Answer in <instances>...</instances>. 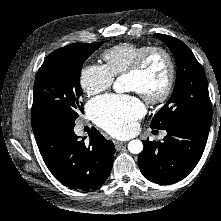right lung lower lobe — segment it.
<instances>
[{"mask_svg":"<svg viewBox=\"0 0 221 221\" xmlns=\"http://www.w3.org/2000/svg\"><path fill=\"white\" fill-rule=\"evenodd\" d=\"M75 123L49 121L34 129L42 158L50 170L71 189H95L110 175L115 147L95 128L84 143L73 131Z\"/></svg>","mask_w":221,"mask_h":221,"instance_id":"98d812e1","label":"right lung lower lobe"}]
</instances>
